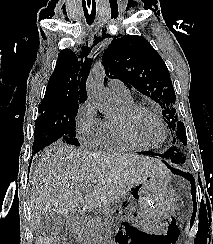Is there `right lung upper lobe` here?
Instances as JSON below:
<instances>
[{
    "label": "right lung upper lobe",
    "instance_id": "right-lung-upper-lobe-1",
    "mask_svg": "<svg viewBox=\"0 0 213 244\" xmlns=\"http://www.w3.org/2000/svg\"><path fill=\"white\" fill-rule=\"evenodd\" d=\"M90 68L91 61L84 60L82 56L77 57L70 49L62 50L41 103L85 102L87 99L86 80Z\"/></svg>",
    "mask_w": 213,
    "mask_h": 244
}]
</instances>
